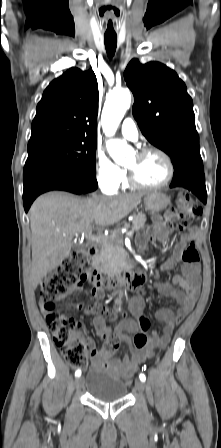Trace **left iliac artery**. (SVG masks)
<instances>
[{
    "instance_id": "obj_1",
    "label": "left iliac artery",
    "mask_w": 221,
    "mask_h": 448,
    "mask_svg": "<svg viewBox=\"0 0 221 448\" xmlns=\"http://www.w3.org/2000/svg\"><path fill=\"white\" fill-rule=\"evenodd\" d=\"M139 378H140V380H141L142 382H145V380H146L145 375L142 374V373L139 375Z\"/></svg>"
}]
</instances>
